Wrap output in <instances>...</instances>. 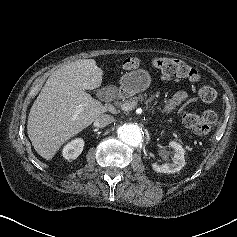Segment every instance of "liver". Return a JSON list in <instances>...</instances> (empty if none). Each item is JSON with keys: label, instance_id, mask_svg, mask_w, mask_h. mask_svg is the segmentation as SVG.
Returning <instances> with one entry per match:
<instances>
[{"label": "liver", "instance_id": "1", "mask_svg": "<svg viewBox=\"0 0 237 237\" xmlns=\"http://www.w3.org/2000/svg\"><path fill=\"white\" fill-rule=\"evenodd\" d=\"M103 71L94 59L71 62L54 71L33 103L27 134L44 159L92 124L106 108L86 90L99 88Z\"/></svg>", "mask_w": 237, "mask_h": 237}]
</instances>
